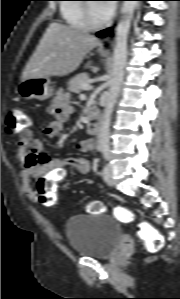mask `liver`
Wrapping results in <instances>:
<instances>
[{
  "label": "liver",
  "instance_id": "obj_1",
  "mask_svg": "<svg viewBox=\"0 0 180 299\" xmlns=\"http://www.w3.org/2000/svg\"><path fill=\"white\" fill-rule=\"evenodd\" d=\"M98 45L100 41L95 36L53 22L27 62L21 80L29 77L68 75L75 71L85 55ZM90 64L86 66L89 67Z\"/></svg>",
  "mask_w": 180,
  "mask_h": 299
}]
</instances>
